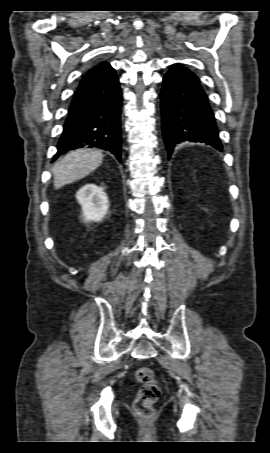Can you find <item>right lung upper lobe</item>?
<instances>
[{"label": "right lung upper lobe", "mask_w": 270, "mask_h": 453, "mask_svg": "<svg viewBox=\"0 0 270 453\" xmlns=\"http://www.w3.org/2000/svg\"><path fill=\"white\" fill-rule=\"evenodd\" d=\"M108 67H110V64H108L106 62H102V63L98 64L97 66H95L94 68L90 69L86 73V75L84 76V78L81 80L80 83L100 75Z\"/></svg>", "instance_id": "1"}]
</instances>
